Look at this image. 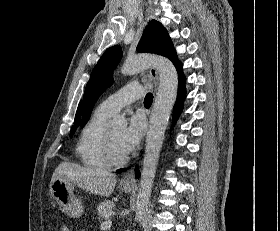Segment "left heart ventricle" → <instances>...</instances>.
I'll list each match as a JSON object with an SVG mask.
<instances>
[{"label":"left heart ventricle","instance_id":"1","mask_svg":"<svg viewBox=\"0 0 280 231\" xmlns=\"http://www.w3.org/2000/svg\"><path fill=\"white\" fill-rule=\"evenodd\" d=\"M123 130H124V128H119V127H114V128L108 129L114 151L117 155H124L118 145V139H119V136L121 135V133L123 132Z\"/></svg>","mask_w":280,"mask_h":231}]
</instances>
